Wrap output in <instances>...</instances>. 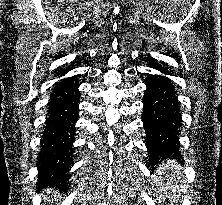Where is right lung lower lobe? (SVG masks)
Here are the masks:
<instances>
[{"label":"right lung lower lobe","instance_id":"obj_1","mask_svg":"<svg viewBox=\"0 0 222 205\" xmlns=\"http://www.w3.org/2000/svg\"><path fill=\"white\" fill-rule=\"evenodd\" d=\"M64 70L61 75L66 74ZM79 80L65 78L58 82L48 104L46 130L41 141L38 157V186L68 188V167L72 160L75 122L78 116Z\"/></svg>","mask_w":222,"mask_h":205}]
</instances>
